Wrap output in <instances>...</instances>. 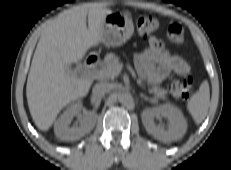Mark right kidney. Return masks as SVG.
<instances>
[{"label":"right kidney","mask_w":231,"mask_h":170,"mask_svg":"<svg viewBox=\"0 0 231 170\" xmlns=\"http://www.w3.org/2000/svg\"><path fill=\"white\" fill-rule=\"evenodd\" d=\"M82 110V103L75 102L71 104L54 124V132L57 138L62 141L79 140L89 133L95 126L96 113H88L80 122V126L70 127L74 116L79 115Z\"/></svg>","instance_id":"ca27d5eb"}]
</instances>
